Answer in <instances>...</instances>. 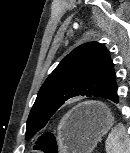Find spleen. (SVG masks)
<instances>
[{
	"instance_id": "3e777b00",
	"label": "spleen",
	"mask_w": 130,
	"mask_h": 153,
	"mask_svg": "<svg viewBox=\"0 0 130 153\" xmlns=\"http://www.w3.org/2000/svg\"><path fill=\"white\" fill-rule=\"evenodd\" d=\"M107 153H130V137L122 123L116 125L105 142Z\"/></svg>"
}]
</instances>
